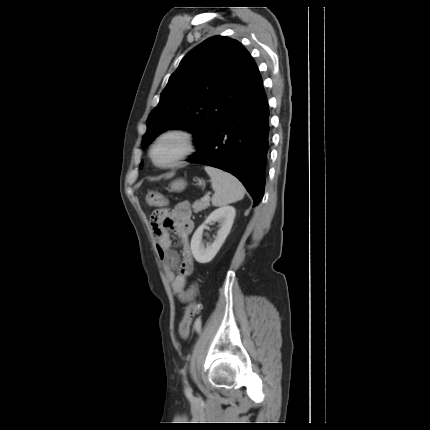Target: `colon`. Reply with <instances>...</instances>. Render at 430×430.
I'll use <instances>...</instances> for the list:
<instances>
[{"label":"colon","instance_id":"colon-1","mask_svg":"<svg viewBox=\"0 0 430 430\" xmlns=\"http://www.w3.org/2000/svg\"><path fill=\"white\" fill-rule=\"evenodd\" d=\"M146 202L149 206L159 207L160 209L157 211L163 212L166 210L165 207L167 206V199L161 193L149 192L146 196ZM199 310L200 307L196 302H192L187 306L184 317L181 321L180 335L183 338L189 337L193 319ZM195 328L197 330L199 325H195Z\"/></svg>","mask_w":430,"mask_h":430}]
</instances>
